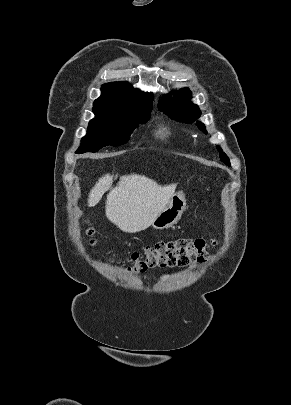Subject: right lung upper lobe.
Listing matches in <instances>:
<instances>
[{
  "label": "right lung upper lobe",
  "instance_id": "cb5924a9",
  "mask_svg": "<svg viewBox=\"0 0 291 405\" xmlns=\"http://www.w3.org/2000/svg\"><path fill=\"white\" fill-rule=\"evenodd\" d=\"M102 95L94 101L93 110L130 112L152 108L153 96L132 88L127 83L104 84Z\"/></svg>",
  "mask_w": 291,
  "mask_h": 405
}]
</instances>
